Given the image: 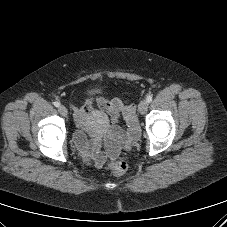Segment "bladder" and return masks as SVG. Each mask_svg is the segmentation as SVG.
<instances>
[{"label": "bladder", "instance_id": "31cf9c89", "mask_svg": "<svg viewBox=\"0 0 227 227\" xmlns=\"http://www.w3.org/2000/svg\"><path fill=\"white\" fill-rule=\"evenodd\" d=\"M96 92V90H91L90 92H89V94H94Z\"/></svg>", "mask_w": 227, "mask_h": 227}]
</instances>
